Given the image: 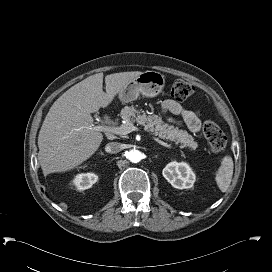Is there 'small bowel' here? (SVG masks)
<instances>
[{
  "label": "small bowel",
  "instance_id": "obj_1",
  "mask_svg": "<svg viewBox=\"0 0 272 272\" xmlns=\"http://www.w3.org/2000/svg\"><path fill=\"white\" fill-rule=\"evenodd\" d=\"M163 111L172 115L181 116L183 122L192 132L200 130L201 121L198 116L194 112L184 109L179 103L173 100H166L163 103ZM168 120L173 122L171 117H169Z\"/></svg>",
  "mask_w": 272,
  "mask_h": 272
}]
</instances>
